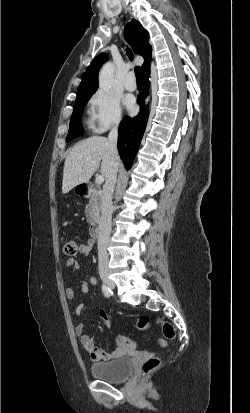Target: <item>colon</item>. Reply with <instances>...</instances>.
Segmentation results:
<instances>
[{"label":"colon","mask_w":250,"mask_h":413,"mask_svg":"<svg viewBox=\"0 0 250 413\" xmlns=\"http://www.w3.org/2000/svg\"><path fill=\"white\" fill-rule=\"evenodd\" d=\"M79 248V244L76 239L70 238L68 239L63 247V251L66 255L74 256L77 254ZM102 323L106 326L107 329L113 328V323L111 322V316H107L105 312H101ZM161 328L164 339H160L159 343L161 346H166L165 340H175L176 338V329L175 327L164 320H158ZM137 327L139 330H146L149 327V320L147 317L142 316L137 321ZM117 340L127 349L132 350V353H137V348H141V343H136L132 336L128 335H117ZM161 364V361L158 357H150L148 358L141 367V375L143 377L148 376L152 372L156 371Z\"/></svg>","instance_id":"1"}]
</instances>
